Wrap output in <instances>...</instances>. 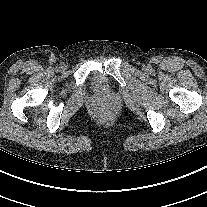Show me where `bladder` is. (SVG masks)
I'll list each match as a JSON object with an SVG mask.
<instances>
[{
  "instance_id": "obj_1",
  "label": "bladder",
  "mask_w": 207,
  "mask_h": 207,
  "mask_svg": "<svg viewBox=\"0 0 207 207\" xmlns=\"http://www.w3.org/2000/svg\"><path fill=\"white\" fill-rule=\"evenodd\" d=\"M94 81H95L96 83H100V82H102V81H103V77H102V76L97 75V76H95V77H94Z\"/></svg>"
}]
</instances>
